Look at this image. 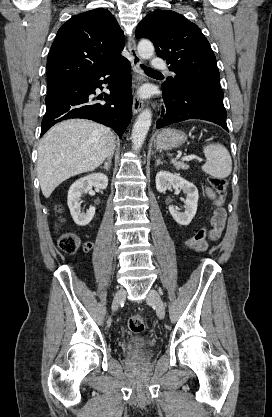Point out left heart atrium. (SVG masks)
Listing matches in <instances>:
<instances>
[{
  "mask_svg": "<svg viewBox=\"0 0 272 417\" xmlns=\"http://www.w3.org/2000/svg\"><path fill=\"white\" fill-rule=\"evenodd\" d=\"M142 95H143V96H146V95H147V92H146V91H143V92H142Z\"/></svg>",
  "mask_w": 272,
  "mask_h": 417,
  "instance_id": "obj_1",
  "label": "left heart atrium"
}]
</instances>
